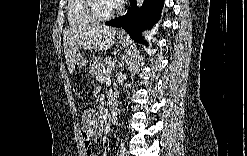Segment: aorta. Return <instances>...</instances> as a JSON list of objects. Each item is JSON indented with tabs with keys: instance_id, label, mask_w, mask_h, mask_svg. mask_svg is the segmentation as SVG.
<instances>
[{
	"instance_id": "aorta-1",
	"label": "aorta",
	"mask_w": 247,
	"mask_h": 156,
	"mask_svg": "<svg viewBox=\"0 0 247 156\" xmlns=\"http://www.w3.org/2000/svg\"><path fill=\"white\" fill-rule=\"evenodd\" d=\"M143 0H138L137 1V6L140 8V7H142V5H143Z\"/></svg>"
}]
</instances>
